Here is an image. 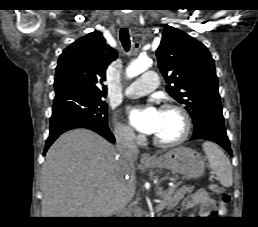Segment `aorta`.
I'll return each instance as SVG.
<instances>
[{
  "mask_svg": "<svg viewBox=\"0 0 258 227\" xmlns=\"http://www.w3.org/2000/svg\"><path fill=\"white\" fill-rule=\"evenodd\" d=\"M150 65L151 60L149 58H138L128 65L126 69V75L128 78H134L146 71Z\"/></svg>",
  "mask_w": 258,
  "mask_h": 227,
  "instance_id": "aorta-1",
  "label": "aorta"
}]
</instances>
